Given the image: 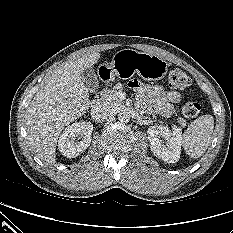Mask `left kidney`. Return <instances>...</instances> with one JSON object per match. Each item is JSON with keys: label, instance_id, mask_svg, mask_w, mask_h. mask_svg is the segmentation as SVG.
<instances>
[{"label": "left kidney", "instance_id": "obj_1", "mask_svg": "<svg viewBox=\"0 0 233 233\" xmlns=\"http://www.w3.org/2000/svg\"><path fill=\"white\" fill-rule=\"evenodd\" d=\"M150 149L159 159L167 163H176L180 159L182 132L173 126L172 130L163 125L151 126L148 131Z\"/></svg>", "mask_w": 233, "mask_h": 233}]
</instances>
